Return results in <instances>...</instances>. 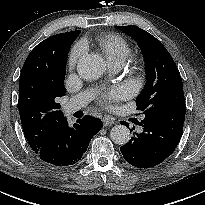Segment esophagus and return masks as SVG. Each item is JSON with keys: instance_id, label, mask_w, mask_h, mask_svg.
I'll return each mask as SVG.
<instances>
[{"instance_id": "esophagus-1", "label": "esophagus", "mask_w": 205, "mask_h": 205, "mask_svg": "<svg viewBox=\"0 0 205 205\" xmlns=\"http://www.w3.org/2000/svg\"><path fill=\"white\" fill-rule=\"evenodd\" d=\"M103 126H111L114 124V121L109 116H104L102 118Z\"/></svg>"}]
</instances>
